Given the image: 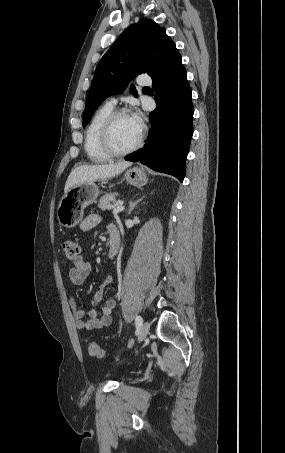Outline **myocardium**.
Instances as JSON below:
<instances>
[{"instance_id": "myocardium-1", "label": "myocardium", "mask_w": 285, "mask_h": 453, "mask_svg": "<svg viewBox=\"0 0 285 453\" xmlns=\"http://www.w3.org/2000/svg\"><path fill=\"white\" fill-rule=\"evenodd\" d=\"M121 116H130V113L126 109H117L113 110L108 117L105 119L101 130H100V144L102 149L110 156V157H120L128 155L136 150H138L144 141L145 137V129L142 126L140 136L136 143L129 148L126 149H117L113 143V127L116 120Z\"/></svg>"}]
</instances>
